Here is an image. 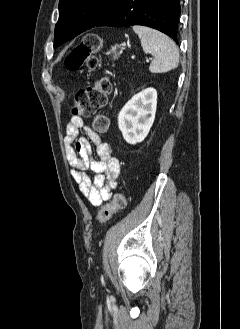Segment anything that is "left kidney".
I'll return each mask as SVG.
<instances>
[{"label": "left kidney", "mask_w": 240, "mask_h": 329, "mask_svg": "<svg viewBox=\"0 0 240 329\" xmlns=\"http://www.w3.org/2000/svg\"><path fill=\"white\" fill-rule=\"evenodd\" d=\"M157 106V91L147 88L134 95L118 115V126L129 144L142 142L153 125Z\"/></svg>", "instance_id": "5707ae66"}]
</instances>
